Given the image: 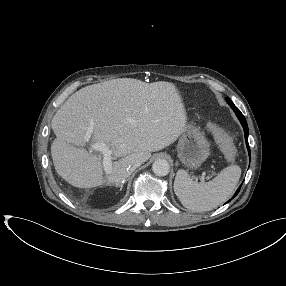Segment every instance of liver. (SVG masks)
Wrapping results in <instances>:
<instances>
[{"mask_svg":"<svg viewBox=\"0 0 286 286\" xmlns=\"http://www.w3.org/2000/svg\"><path fill=\"white\" fill-rule=\"evenodd\" d=\"M186 125L184 103L173 83L119 78L89 85L71 95L52 118L53 164L74 187L100 186L105 182L101 158L74 145L104 142L113 158L122 157L106 179L119 186L129 176L131 160L146 162L151 152L174 143Z\"/></svg>","mask_w":286,"mask_h":286,"instance_id":"1","label":"liver"}]
</instances>
